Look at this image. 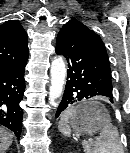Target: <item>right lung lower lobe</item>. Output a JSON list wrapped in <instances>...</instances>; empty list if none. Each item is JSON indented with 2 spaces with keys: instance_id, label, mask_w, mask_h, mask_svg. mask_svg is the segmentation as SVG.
<instances>
[{
  "instance_id": "obj_1",
  "label": "right lung lower lobe",
  "mask_w": 130,
  "mask_h": 153,
  "mask_svg": "<svg viewBox=\"0 0 130 153\" xmlns=\"http://www.w3.org/2000/svg\"><path fill=\"white\" fill-rule=\"evenodd\" d=\"M26 62L0 69V125L12 130L18 138L22 128L23 111L19 104L25 90Z\"/></svg>"
}]
</instances>
